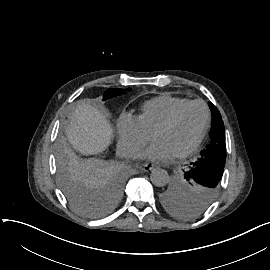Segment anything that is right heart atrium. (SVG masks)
<instances>
[{
	"label": "right heart atrium",
	"mask_w": 270,
	"mask_h": 270,
	"mask_svg": "<svg viewBox=\"0 0 270 270\" xmlns=\"http://www.w3.org/2000/svg\"><path fill=\"white\" fill-rule=\"evenodd\" d=\"M116 133L118 154L124 158L136 157L149 140V134L140 127L134 117L127 114L119 118Z\"/></svg>",
	"instance_id": "right-heart-atrium-1"
}]
</instances>
